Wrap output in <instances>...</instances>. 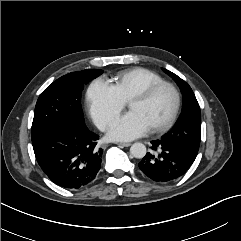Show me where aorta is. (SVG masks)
<instances>
[{"instance_id": "obj_1", "label": "aorta", "mask_w": 241, "mask_h": 241, "mask_svg": "<svg viewBox=\"0 0 241 241\" xmlns=\"http://www.w3.org/2000/svg\"><path fill=\"white\" fill-rule=\"evenodd\" d=\"M130 153L133 157L141 159L146 155V146L143 143H134L130 147Z\"/></svg>"}]
</instances>
